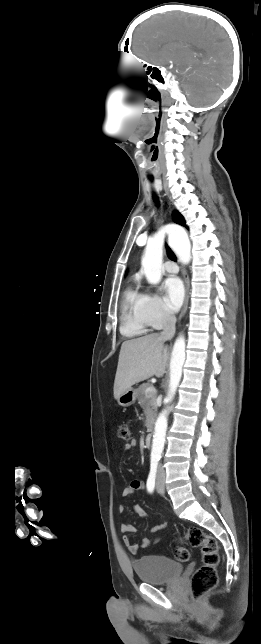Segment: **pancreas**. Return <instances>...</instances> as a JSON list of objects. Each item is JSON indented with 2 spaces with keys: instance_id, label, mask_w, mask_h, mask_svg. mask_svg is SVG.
I'll list each match as a JSON object with an SVG mask.
<instances>
[{
  "instance_id": "pancreas-1",
  "label": "pancreas",
  "mask_w": 261,
  "mask_h": 644,
  "mask_svg": "<svg viewBox=\"0 0 261 644\" xmlns=\"http://www.w3.org/2000/svg\"><path fill=\"white\" fill-rule=\"evenodd\" d=\"M150 386L151 384L144 383L140 385L139 388L137 389L138 403L140 404L146 416V427L148 431L152 429V426L154 424L155 417H156V411H157L156 391L151 394L145 393V390Z\"/></svg>"
}]
</instances>
